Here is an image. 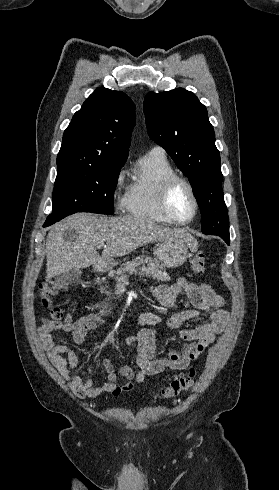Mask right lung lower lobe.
I'll list each match as a JSON object with an SVG mask.
<instances>
[{
	"label": "right lung lower lobe",
	"mask_w": 279,
	"mask_h": 490,
	"mask_svg": "<svg viewBox=\"0 0 279 490\" xmlns=\"http://www.w3.org/2000/svg\"><path fill=\"white\" fill-rule=\"evenodd\" d=\"M46 226H49V224H46V223H45V224H44V227H46Z\"/></svg>",
	"instance_id": "1"
}]
</instances>
